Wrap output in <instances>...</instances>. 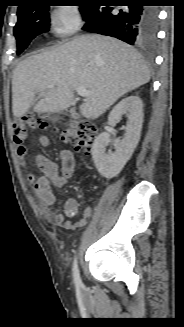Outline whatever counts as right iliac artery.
<instances>
[{"label": "right iliac artery", "instance_id": "82829eb1", "mask_svg": "<svg viewBox=\"0 0 184 327\" xmlns=\"http://www.w3.org/2000/svg\"><path fill=\"white\" fill-rule=\"evenodd\" d=\"M72 271H73V277H74V282H75L76 286H81L82 285V281H81V278H80V274H79V269H78L76 258H74Z\"/></svg>", "mask_w": 184, "mask_h": 327}]
</instances>
